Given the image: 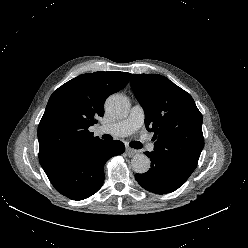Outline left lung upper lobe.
Listing matches in <instances>:
<instances>
[{
    "instance_id": "left-lung-upper-lobe-1",
    "label": "left lung upper lobe",
    "mask_w": 248,
    "mask_h": 248,
    "mask_svg": "<svg viewBox=\"0 0 248 248\" xmlns=\"http://www.w3.org/2000/svg\"><path fill=\"white\" fill-rule=\"evenodd\" d=\"M130 84L144 109L145 125L154 132L152 155L188 178L204 147L203 118L194 100L158 74H133Z\"/></svg>"
}]
</instances>
